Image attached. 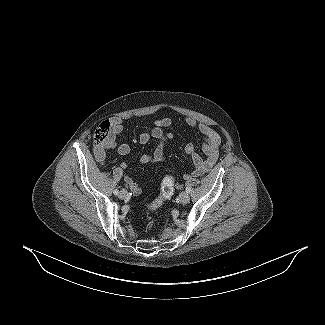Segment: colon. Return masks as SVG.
Here are the masks:
<instances>
[{
  "label": "colon",
  "mask_w": 325,
  "mask_h": 325,
  "mask_svg": "<svg viewBox=\"0 0 325 325\" xmlns=\"http://www.w3.org/2000/svg\"><path fill=\"white\" fill-rule=\"evenodd\" d=\"M110 131V125L107 122L99 124L94 133V142L99 145L103 143ZM175 178L172 175H167L163 178L159 196L152 202L147 204L148 211H155L166 203L174 194Z\"/></svg>",
  "instance_id": "obj_1"
}]
</instances>
